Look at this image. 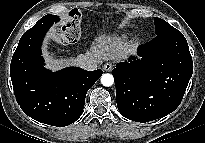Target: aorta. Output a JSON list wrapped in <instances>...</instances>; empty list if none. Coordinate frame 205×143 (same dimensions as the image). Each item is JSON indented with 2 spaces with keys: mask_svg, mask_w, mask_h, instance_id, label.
Here are the masks:
<instances>
[{
  "mask_svg": "<svg viewBox=\"0 0 205 143\" xmlns=\"http://www.w3.org/2000/svg\"><path fill=\"white\" fill-rule=\"evenodd\" d=\"M101 83L105 87L112 86L114 83V77L112 74L105 73L101 76Z\"/></svg>",
  "mask_w": 205,
  "mask_h": 143,
  "instance_id": "1",
  "label": "aorta"
}]
</instances>
